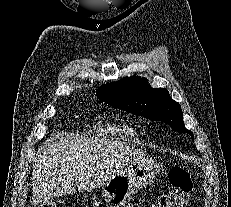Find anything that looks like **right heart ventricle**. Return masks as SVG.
<instances>
[{"instance_id":"e07e8e85","label":"right heart ventricle","mask_w":231,"mask_h":207,"mask_svg":"<svg viewBox=\"0 0 231 207\" xmlns=\"http://www.w3.org/2000/svg\"><path fill=\"white\" fill-rule=\"evenodd\" d=\"M95 130L102 136L113 138H127L134 135V131L124 121L112 117H105Z\"/></svg>"}]
</instances>
